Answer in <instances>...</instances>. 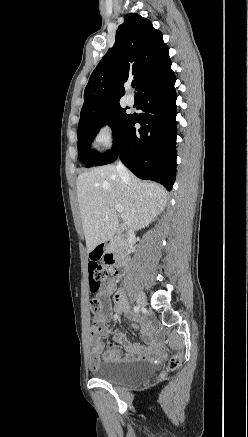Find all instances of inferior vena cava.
Segmentation results:
<instances>
[{
    "label": "inferior vena cava",
    "mask_w": 248,
    "mask_h": 437,
    "mask_svg": "<svg viewBox=\"0 0 248 437\" xmlns=\"http://www.w3.org/2000/svg\"><path fill=\"white\" fill-rule=\"evenodd\" d=\"M116 168H117V172L119 173V175L122 178L129 177V172H128L127 168L120 161L117 163Z\"/></svg>",
    "instance_id": "602c4592"
}]
</instances>
